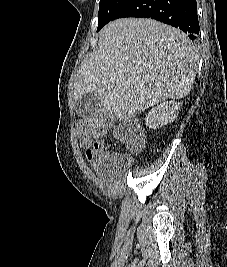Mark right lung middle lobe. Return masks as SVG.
<instances>
[{"label": "right lung middle lobe", "instance_id": "obj_1", "mask_svg": "<svg viewBox=\"0 0 227 267\" xmlns=\"http://www.w3.org/2000/svg\"><path fill=\"white\" fill-rule=\"evenodd\" d=\"M127 1L128 0H100L97 31L110 22Z\"/></svg>", "mask_w": 227, "mask_h": 267}]
</instances>
